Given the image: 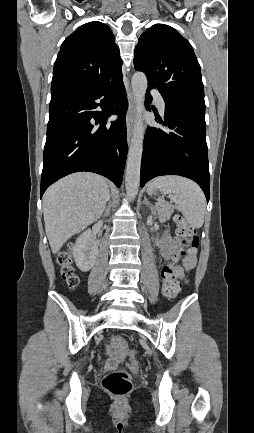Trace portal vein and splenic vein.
Returning a JSON list of instances; mask_svg holds the SVG:
<instances>
[{"label":"portal vein and splenic vein","instance_id":"obj_1","mask_svg":"<svg viewBox=\"0 0 254 433\" xmlns=\"http://www.w3.org/2000/svg\"><path fill=\"white\" fill-rule=\"evenodd\" d=\"M172 199H174V198H172ZM156 204H157V205H158V204H161V202H158V203H156Z\"/></svg>","mask_w":254,"mask_h":433}]
</instances>
